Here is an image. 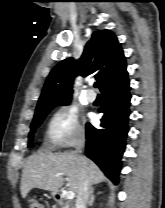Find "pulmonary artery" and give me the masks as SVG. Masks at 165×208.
Returning <instances> with one entry per match:
<instances>
[{
    "label": "pulmonary artery",
    "mask_w": 165,
    "mask_h": 208,
    "mask_svg": "<svg viewBox=\"0 0 165 208\" xmlns=\"http://www.w3.org/2000/svg\"><path fill=\"white\" fill-rule=\"evenodd\" d=\"M86 99L88 102H94L96 100V95L94 93H88Z\"/></svg>",
    "instance_id": "e3ab8cb5"
}]
</instances>
